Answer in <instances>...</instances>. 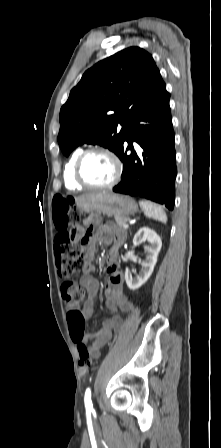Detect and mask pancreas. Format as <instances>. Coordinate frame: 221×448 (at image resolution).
<instances>
[{"label": "pancreas", "instance_id": "obj_1", "mask_svg": "<svg viewBox=\"0 0 221 448\" xmlns=\"http://www.w3.org/2000/svg\"><path fill=\"white\" fill-rule=\"evenodd\" d=\"M128 220H129V217L115 216V221L120 228H123Z\"/></svg>", "mask_w": 221, "mask_h": 448}]
</instances>
